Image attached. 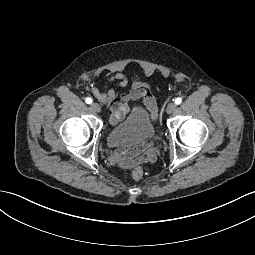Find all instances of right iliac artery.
Here are the masks:
<instances>
[{"mask_svg":"<svg viewBox=\"0 0 255 255\" xmlns=\"http://www.w3.org/2000/svg\"><path fill=\"white\" fill-rule=\"evenodd\" d=\"M86 103H87V104L92 103V99H91V98H86Z\"/></svg>","mask_w":255,"mask_h":255,"instance_id":"82829eb1","label":"right iliac artery"}]
</instances>
